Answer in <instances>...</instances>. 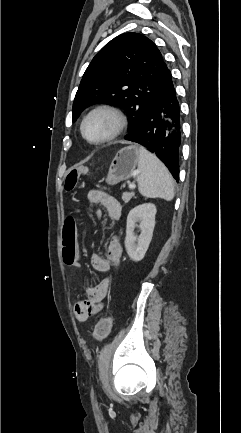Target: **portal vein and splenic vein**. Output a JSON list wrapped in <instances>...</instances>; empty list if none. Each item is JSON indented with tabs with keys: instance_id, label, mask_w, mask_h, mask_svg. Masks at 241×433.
Here are the masks:
<instances>
[{
	"instance_id": "1",
	"label": "portal vein and splenic vein",
	"mask_w": 241,
	"mask_h": 433,
	"mask_svg": "<svg viewBox=\"0 0 241 433\" xmlns=\"http://www.w3.org/2000/svg\"><path fill=\"white\" fill-rule=\"evenodd\" d=\"M129 188H130L131 190H133V189L136 188V185H135V184H129Z\"/></svg>"
}]
</instances>
